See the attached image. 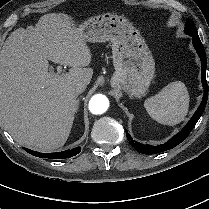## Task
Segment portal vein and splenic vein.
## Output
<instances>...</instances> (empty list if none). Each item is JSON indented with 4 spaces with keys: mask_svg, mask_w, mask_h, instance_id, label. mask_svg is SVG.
Instances as JSON below:
<instances>
[{
    "mask_svg": "<svg viewBox=\"0 0 209 209\" xmlns=\"http://www.w3.org/2000/svg\"><path fill=\"white\" fill-rule=\"evenodd\" d=\"M62 74V67L61 66H57V73H56V77H60Z\"/></svg>",
    "mask_w": 209,
    "mask_h": 209,
    "instance_id": "portal-vein-and-splenic-vein-1",
    "label": "portal vein and splenic vein"
}]
</instances>
